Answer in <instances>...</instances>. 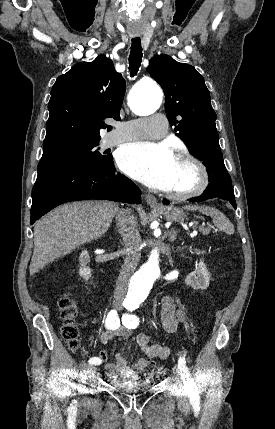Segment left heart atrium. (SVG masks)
<instances>
[{"instance_id":"1","label":"left heart atrium","mask_w":275,"mask_h":429,"mask_svg":"<svg viewBox=\"0 0 275 429\" xmlns=\"http://www.w3.org/2000/svg\"><path fill=\"white\" fill-rule=\"evenodd\" d=\"M117 163L128 176L151 188L167 191L176 158L166 144L134 142L120 149Z\"/></svg>"}]
</instances>
